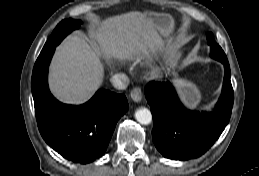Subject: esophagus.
<instances>
[{
	"instance_id": "obj_1",
	"label": "esophagus",
	"mask_w": 259,
	"mask_h": 176,
	"mask_svg": "<svg viewBox=\"0 0 259 176\" xmlns=\"http://www.w3.org/2000/svg\"><path fill=\"white\" fill-rule=\"evenodd\" d=\"M131 98L134 102H140L142 99V91L141 88L139 87H135L132 91H131Z\"/></svg>"
}]
</instances>
